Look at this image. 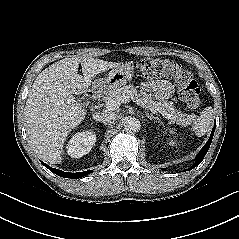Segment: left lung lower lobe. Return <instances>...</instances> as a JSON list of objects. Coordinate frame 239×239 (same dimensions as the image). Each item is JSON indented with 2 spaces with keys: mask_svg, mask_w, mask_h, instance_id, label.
<instances>
[{
  "mask_svg": "<svg viewBox=\"0 0 239 239\" xmlns=\"http://www.w3.org/2000/svg\"><path fill=\"white\" fill-rule=\"evenodd\" d=\"M214 131H215V126L212 129L211 135H210L207 143L205 144V146L200 150V152L196 156L195 164L192 167H190L187 171L193 169L194 167L198 166L202 162V160L204 159V156L208 152V149H209V147L211 145L212 138H213V135H214Z\"/></svg>",
  "mask_w": 239,
  "mask_h": 239,
  "instance_id": "left-lung-lower-lobe-1",
  "label": "left lung lower lobe"
}]
</instances>
